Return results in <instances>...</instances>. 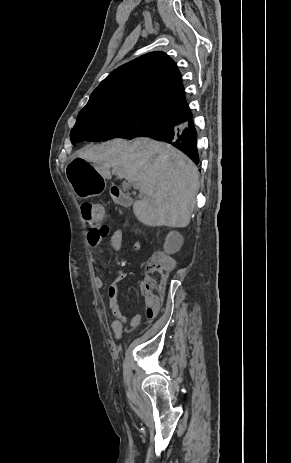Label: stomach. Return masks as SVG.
I'll return each instance as SVG.
<instances>
[{"label": "stomach", "instance_id": "0dacf381", "mask_svg": "<svg viewBox=\"0 0 291 463\" xmlns=\"http://www.w3.org/2000/svg\"><path fill=\"white\" fill-rule=\"evenodd\" d=\"M66 182L71 183L77 197L82 199L96 196L104 189L103 177L81 157H74L72 162H67Z\"/></svg>", "mask_w": 291, "mask_h": 463}]
</instances>
